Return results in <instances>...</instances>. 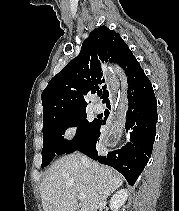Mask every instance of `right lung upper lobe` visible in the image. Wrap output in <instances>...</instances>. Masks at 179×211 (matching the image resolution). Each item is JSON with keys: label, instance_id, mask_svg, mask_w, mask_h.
<instances>
[{"label": "right lung upper lobe", "instance_id": "obj_1", "mask_svg": "<svg viewBox=\"0 0 179 211\" xmlns=\"http://www.w3.org/2000/svg\"><path fill=\"white\" fill-rule=\"evenodd\" d=\"M117 64L131 81L142 70L119 33L106 26L94 29L83 42L79 55L48 83L42 93L43 125L51 119L86 110L85 96L93 93L108 77V65ZM105 103L106 85L102 86Z\"/></svg>", "mask_w": 179, "mask_h": 211}]
</instances>
